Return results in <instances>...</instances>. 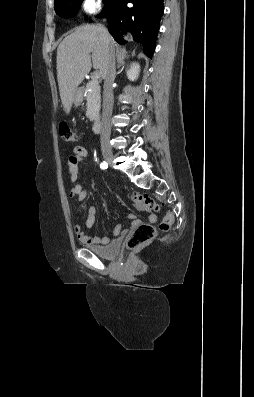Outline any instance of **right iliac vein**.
<instances>
[{
  "label": "right iliac vein",
  "mask_w": 254,
  "mask_h": 397,
  "mask_svg": "<svg viewBox=\"0 0 254 397\" xmlns=\"http://www.w3.org/2000/svg\"><path fill=\"white\" fill-rule=\"evenodd\" d=\"M103 157H104L105 161L108 164L112 165V163H113V154L111 152L103 153Z\"/></svg>",
  "instance_id": "63e3f726"
}]
</instances>
